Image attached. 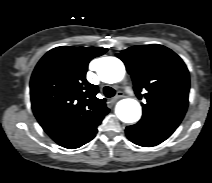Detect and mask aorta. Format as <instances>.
<instances>
[{"label":"aorta","mask_w":212,"mask_h":183,"mask_svg":"<svg viewBox=\"0 0 212 183\" xmlns=\"http://www.w3.org/2000/svg\"><path fill=\"white\" fill-rule=\"evenodd\" d=\"M97 73L105 83L120 82L125 75V66L115 57H103L99 60ZM116 115L124 123H135L141 117V106L134 99H123L116 105Z\"/></svg>","instance_id":"1"}]
</instances>
